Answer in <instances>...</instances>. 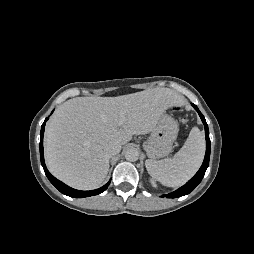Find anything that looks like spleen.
<instances>
[{"instance_id":"spleen-1","label":"spleen","mask_w":254,"mask_h":254,"mask_svg":"<svg viewBox=\"0 0 254 254\" xmlns=\"http://www.w3.org/2000/svg\"><path fill=\"white\" fill-rule=\"evenodd\" d=\"M205 153L204 134L193 127L183 147L173 158L146 160L149 174L161 184L178 187L185 184L199 169Z\"/></svg>"}]
</instances>
